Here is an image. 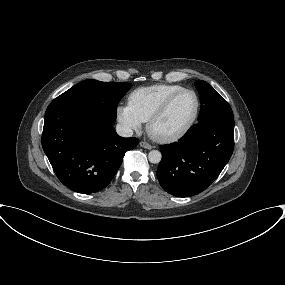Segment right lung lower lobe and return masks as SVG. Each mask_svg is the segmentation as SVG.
Segmentation results:
<instances>
[{"label":"right lung lower lobe","mask_w":285,"mask_h":285,"mask_svg":"<svg viewBox=\"0 0 285 285\" xmlns=\"http://www.w3.org/2000/svg\"><path fill=\"white\" fill-rule=\"evenodd\" d=\"M115 119L76 102L54 99L45 113L42 147L58 179L83 194L105 188L138 139L120 137Z\"/></svg>","instance_id":"1"}]
</instances>
